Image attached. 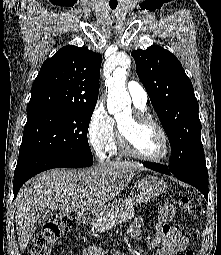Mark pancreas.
I'll return each instance as SVG.
<instances>
[{"instance_id": "obj_1", "label": "pancreas", "mask_w": 221, "mask_h": 255, "mask_svg": "<svg viewBox=\"0 0 221 255\" xmlns=\"http://www.w3.org/2000/svg\"><path fill=\"white\" fill-rule=\"evenodd\" d=\"M140 201V197H128L122 201L120 208L106 210L92 225L98 232L110 230L113 226L131 219L134 216L135 207Z\"/></svg>"}]
</instances>
